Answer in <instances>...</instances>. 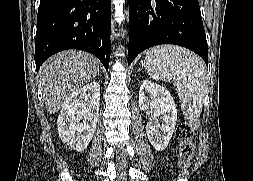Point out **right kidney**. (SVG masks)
Masks as SVG:
<instances>
[{
	"label": "right kidney",
	"instance_id": "1",
	"mask_svg": "<svg viewBox=\"0 0 253 181\" xmlns=\"http://www.w3.org/2000/svg\"><path fill=\"white\" fill-rule=\"evenodd\" d=\"M100 107V85L93 81L74 91L63 103L58 116V133L62 142L77 152L90 143Z\"/></svg>",
	"mask_w": 253,
	"mask_h": 181
}]
</instances>
